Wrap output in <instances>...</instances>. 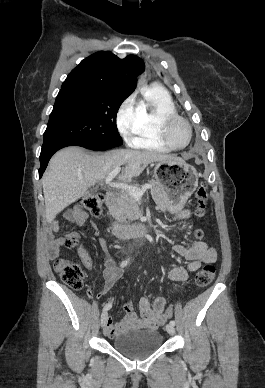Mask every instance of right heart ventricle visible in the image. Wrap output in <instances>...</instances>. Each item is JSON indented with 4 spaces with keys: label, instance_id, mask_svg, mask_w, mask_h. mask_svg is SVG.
<instances>
[{
    "label": "right heart ventricle",
    "instance_id": "obj_1",
    "mask_svg": "<svg viewBox=\"0 0 265 388\" xmlns=\"http://www.w3.org/2000/svg\"><path fill=\"white\" fill-rule=\"evenodd\" d=\"M141 115L132 145L153 151L166 152L171 149L160 136V122L163 116L176 113L175 106L166 91H147L140 102Z\"/></svg>",
    "mask_w": 265,
    "mask_h": 388
}]
</instances>
